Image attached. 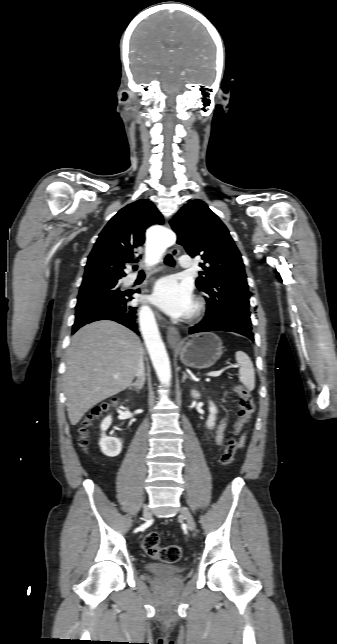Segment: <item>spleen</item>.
<instances>
[{"mask_svg":"<svg viewBox=\"0 0 337 644\" xmlns=\"http://www.w3.org/2000/svg\"><path fill=\"white\" fill-rule=\"evenodd\" d=\"M235 357L239 365V380L249 391H252L255 388V372L253 363L249 356L243 351L236 352Z\"/></svg>","mask_w":337,"mask_h":644,"instance_id":"1","label":"spleen"}]
</instances>
